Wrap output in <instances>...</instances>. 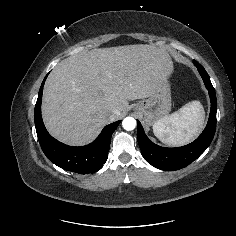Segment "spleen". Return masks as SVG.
I'll return each mask as SVG.
<instances>
[{"label": "spleen", "instance_id": "1", "mask_svg": "<svg viewBox=\"0 0 236 236\" xmlns=\"http://www.w3.org/2000/svg\"><path fill=\"white\" fill-rule=\"evenodd\" d=\"M204 109L199 101H192L178 111L163 117L153 125L154 135L170 146H182L191 142L204 123Z\"/></svg>", "mask_w": 236, "mask_h": 236}]
</instances>
